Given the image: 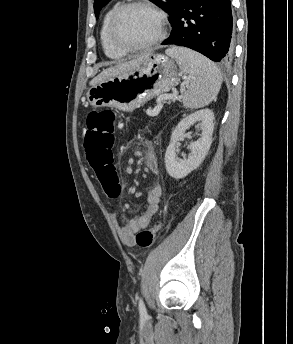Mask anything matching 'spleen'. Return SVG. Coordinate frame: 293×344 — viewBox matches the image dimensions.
<instances>
[{
    "mask_svg": "<svg viewBox=\"0 0 293 344\" xmlns=\"http://www.w3.org/2000/svg\"><path fill=\"white\" fill-rule=\"evenodd\" d=\"M185 74H188L189 87L185 92L183 106L190 109L201 108L212 102L217 96L222 76L216 65L203 55L182 47L166 50Z\"/></svg>",
    "mask_w": 293,
    "mask_h": 344,
    "instance_id": "3e777b00",
    "label": "spleen"
}]
</instances>
